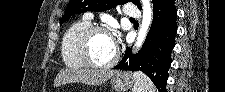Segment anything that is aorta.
<instances>
[{
    "label": "aorta",
    "mask_w": 225,
    "mask_h": 92,
    "mask_svg": "<svg viewBox=\"0 0 225 92\" xmlns=\"http://www.w3.org/2000/svg\"><path fill=\"white\" fill-rule=\"evenodd\" d=\"M142 10H143V16H142V23L141 27L136 39V43L134 46L135 51H137L142 43L144 42L147 33L149 31V27L152 22V15H153V10H152V4L150 0H142Z\"/></svg>",
    "instance_id": "obj_1"
}]
</instances>
